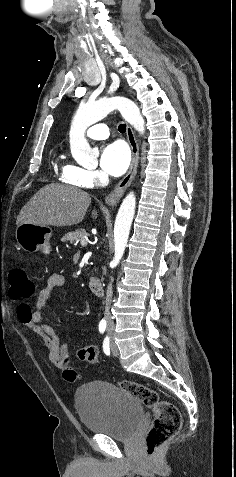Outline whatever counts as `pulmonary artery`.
I'll list each match as a JSON object with an SVG mask.
<instances>
[{
	"label": "pulmonary artery",
	"mask_w": 236,
	"mask_h": 477,
	"mask_svg": "<svg viewBox=\"0 0 236 477\" xmlns=\"http://www.w3.org/2000/svg\"><path fill=\"white\" fill-rule=\"evenodd\" d=\"M86 135L91 139L104 140L109 137V128L106 124H94L88 128Z\"/></svg>",
	"instance_id": "1"
}]
</instances>
